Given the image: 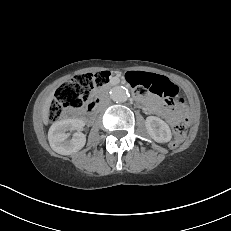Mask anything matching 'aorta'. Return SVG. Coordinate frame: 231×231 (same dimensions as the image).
<instances>
[{
    "instance_id": "aorta-1",
    "label": "aorta",
    "mask_w": 231,
    "mask_h": 231,
    "mask_svg": "<svg viewBox=\"0 0 231 231\" xmlns=\"http://www.w3.org/2000/svg\"><path fill=\"white\" fill-rule=\"evenodd\" d=\"M110 97L116 103H123L128 100L129 93L124 87L116 86L111 89Z\"/></svg>"
}]
</instances>
